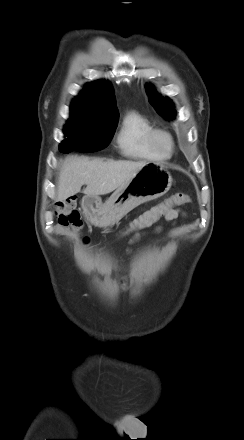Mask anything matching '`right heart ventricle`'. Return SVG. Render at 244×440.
Returning <instances> with one entry per match:
<instances>
[{
	"label": "right heart ventricle",
	"mask_w": 244,
	"mask_h": 440,
	"mask_svg": "<svg viewBox=\"0 0 244 440\" xmlns=\"http://www.w3.org/2000/svg\"><path fill=\"white\" fill-rule=\"evenodd\" d=\"M153 129L148 120L135 111L127 112L122 118L116 135L119 151L127 157L159 160L163 156L156 153L148 144V133Z\"/></svg>",
	"instance_id": "right-heart-ventricle-1"
}]
</instances>
